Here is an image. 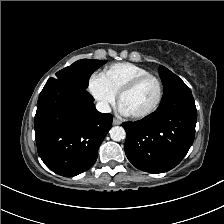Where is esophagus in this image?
Returning <instances> with one entry per match:
<instances>
[{
  "mask_svg": "<svg viewBox=\"0 0 224 224\" xmlns=\"http://www.w3.org/2000/svg\"><path fill=\"white\" fill-rule=\"evenodd\" d=\"M120 124H121L120 120H118L116 118L113 119V125H120Z\"/></svg>",
  "mask_w": 224,
  "mask_h": 224,
  "instance_id": "1",
  "label": "esophagus"
}]
</instances>
